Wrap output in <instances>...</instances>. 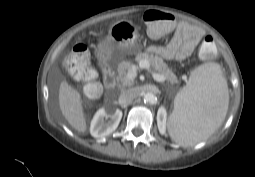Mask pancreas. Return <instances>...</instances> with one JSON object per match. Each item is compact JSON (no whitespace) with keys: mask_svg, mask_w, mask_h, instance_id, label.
Here are the masks:
<instances>
[{"mask_svg":"<svg viewBox=\"0 0 255 177\" xmlns=\"http://www.w3.org/2000/svg\"><path fill=\"white\" fill-rule=\"evenodd\" d=\"M135 60L140 62L141 60H147L153 67L157 74L163 76L165 80L171 84L177 83L178 79L176 75L168 68L167 64L158 56H153L148 53H138ZM134 64L131 61H121L118 64V75L116 80L122 88L130 87L134 84L133 80L127 79V74L131 70Z\"/></svg>","mask_w":255,"mask_h":177,"instance_id":"1","label":"pancreas"}]
</instances>
